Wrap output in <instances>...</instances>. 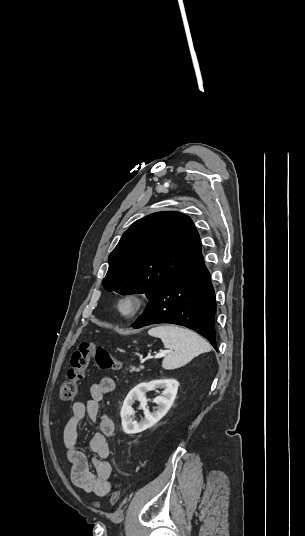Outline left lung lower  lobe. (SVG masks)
<instances>
[{
    "mask_svg": "<svg viewBox=\"0 0 305 536\" xmlns=\"http://www.w3.org/2000/svg\"><path fill=\"white\" fill-rule=\"evenodd\" d=\"M216 301L211 277L202 253L149 301L133 328L171 323L204 336L218 351L214 316Z\"/></svg>",
    "mask_w": 305,
    "mask_h": 536,
    "instance_id": "1",
    "label": "left lung lower lobe"
}]
</instances>
